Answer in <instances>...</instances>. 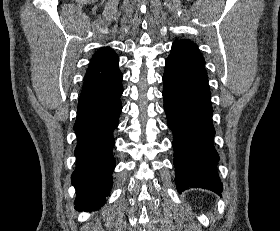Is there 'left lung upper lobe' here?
I'll return each instance as SVG.
<instances>
[{"label": "left lung upper lobe", "instance_id": "left-lung-upper-lobe-1", "mask_svg": "<svg viewBox=\"0 0 280 231\" xmlns=\"http://www.w3.org/2000/svg\"><path fill=\"white\" fill-rule=\"evenodd\" d=\"M177 74H207L204 59L194 43L189 40L175 41L166 64Z\"/></svg>", "mask_w": 280, "mask_h": 231}]
</instances>
